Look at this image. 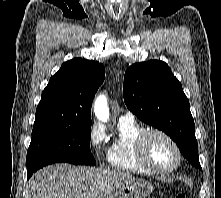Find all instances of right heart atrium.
<instances>
[{"label": "right heart atrium", "mask_w": 221, "mask_h": 198, "mask_svg": "<svg viewBox=\"0 0 221 198\" xmlns=\"http://www.w3.org/2000/svg\"><path fill=\"white\" fill-rule=\"evenodd\" d=\"M88 141L91 149L99 159L107 157L108 148L105 145V133L100 126L93 125L90 128Z\"/></svg>", "instance_id": "obj_1"}]
</instances>
